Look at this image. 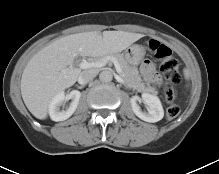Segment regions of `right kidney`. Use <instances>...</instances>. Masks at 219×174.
<instances>
[{"mask_svg": "<svg viewBox=\"0 0 219 174\" xmlns=\"http://www.w3.org/2000/svg\"><path fill=\"white\" fill-rule=\"evenodd\" d=\"M81 93L78 90H73L67 95L64 92H60L54 96L49 104V115L53 121H64L68 119L76 110ZM72 100L69 107L66 109H60L66 100Z\"/></svg>", "mask_w": 219, "mask_h": 174, "instance_id": "obj_1", "label": "right kidney"}]
</instances>
